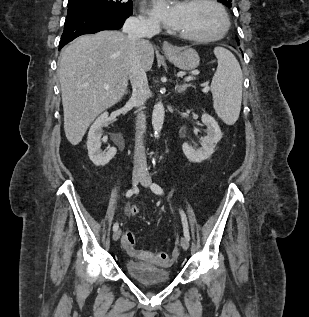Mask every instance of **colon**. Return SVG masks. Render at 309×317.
I'll list each match as a JSON object with an SVG mask.
<instances>
[{
    "instance_id": "obj_1",
    "label": "colon",
    "mask_w": 309,
    "mask_h": 317,
    "mask_svg": "<svg viewBox=\"0 0 309 317\" xmlns=\"http://www.w3.org/2000/svg\"><path fill=\"white\" fill-rule=\"evenodd\" d=\"M138 213L137 207L131 208V214L136 215ZM123 244L126 247H133L135 244V237L131 232H126L123 236ZM168 255L166 253H160L159 254V261L163 265H168L170 262L167 260Z\"/></svg>"
}]
</instances>
